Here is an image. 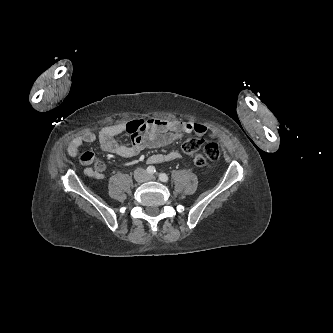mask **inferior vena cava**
I'll list each match as a JSON object with an SVG mask.
<instances>
[{
	"label": "inferior vena cava",
	"mask_w": 333,
	"mask_h": 333,
	"mask_svg": "<svg viewBox=\"0 0 333 333\" xmlns=\"http://www.w3.org/2000/svg\"><path fill=\"white\" fill-rule=\"evenodd\" d=\"M139 171H142V169H138V170H136V172H135V177H137V173H138Z\"/></svg>",
	"instance_id": "1"
}]
</instances>
